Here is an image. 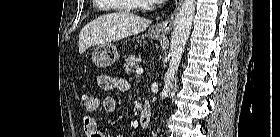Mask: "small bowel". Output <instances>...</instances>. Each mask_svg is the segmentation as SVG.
<instances>
[{"mask_svg": "<svg viewBox=\"0 0 280 137\" xmlns=\"http://www.w3.org/2000/svg\"><path fill=\"white\" fill-rule=\"evenodd\" d=\"M98 85L104 90H126L127 84L116 76L101 74L97 78ZM116 100L112 96H107L103 100V109L105 113L110 114L116 109ZM82 124L87 137H105L99 130L96 119L91 115H85L82 118Z\"/></svg>", "mask_w": 280, "mask_h": 137, "instance_id": "small-bowel-1", "label": "small bowel"}]
</instances>
